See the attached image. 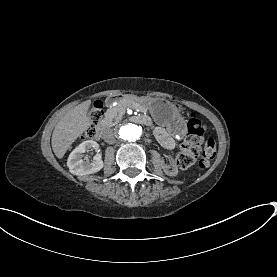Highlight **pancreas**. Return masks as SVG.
<instances>
[{
  "instance_id": "1",
  "label": "pancreas",
  "mask_w": 277,
  "mask_h": 277,
  "mask_svg": "<svg viewBox=\"0 0 277 277\" xmlns=\"http://www.w3.org/2000/svg\"><path fill=\"white\" fill-rule=\"evenodd\" d=\"M106 109L105 119L109 123L116 122L118 116L128 115L130 109L134 110L142 117L147 116L150 112L149 107L138 97H132L128 102L123 99L111 101L107 104Z\"/></svg>"
}]
</instances>
